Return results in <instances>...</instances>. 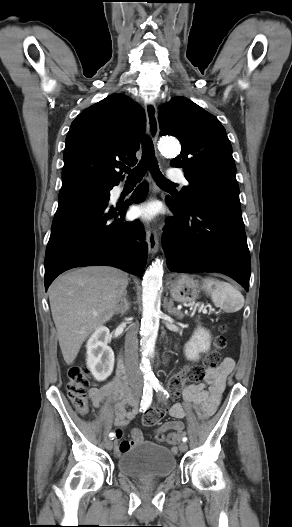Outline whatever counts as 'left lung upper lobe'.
I'll return each mask as SVG.
<instances>
[{
	"label": "left lung upper lobe",
	"mask_w": 292,
	"mask_h": 527,
	"mask_svg": "<svg viewBox=\"0 0 292 527\" xmlns=\"http://www.w3.org/2000/svg\"><path fill=\"white\" fill-rule=\"evenodd\" d=\"M159 109L160 134L177 137L182 146L171 161V166L183 168L189 182L175 197L178 204L184 208L205 201L240 204L232 147L219 120L181 96Z\"/></svg>",
	"instance_id": "obj_1"
}]
</instances>
